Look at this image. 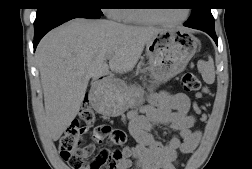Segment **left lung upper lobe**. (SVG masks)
<instances>
[{
  "instance_id": "1",
  "label": "left lung upper lobe",
  "mask_w": 252,
  "mask_h": 169,
  "mask_svg": "<svg viewBox=\"0 0 252 169\" xmlns=\"http://www.w3.org/2000/svg\"><path fill=\"white\" fill-rule=\"evenodd\" d=\"M193 1L196 6L192 8V14L184 25L200 30H214V17L207 6L210 0Z\"/></svg>"
}]
</instances>
